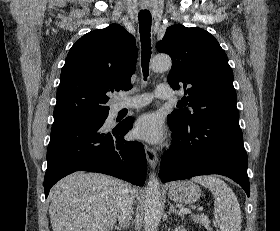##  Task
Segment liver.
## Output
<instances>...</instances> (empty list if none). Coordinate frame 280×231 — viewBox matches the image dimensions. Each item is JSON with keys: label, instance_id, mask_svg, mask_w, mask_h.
Here are the masks:
<instances>
[{"label": "liver", "instance_id": "6515ba94", "mask_svg": "<svg viewBox=\"0 0 280 231\" xmlns=\"http://www.w3.org/2000/svg\"><path fill=\"white\" fill-rule=\"evenodd\" d=\"M120 179L103 173L75 171L53 185L49 199L53 231H111L121 197ZM133 197L142 191L132 187Z\"/></svg>", "mask_w": 280, "mask_h": 231}]
</instances>
